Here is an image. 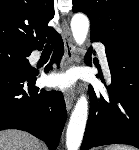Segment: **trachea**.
I'll list each match as a JSON object with an SVG mask.
<instances>
[{
  "instance_id": "obj_1",
  "label": "trachea",
  "mask_w": 139,
  "mask_h": 150,
  "mask_svg": "<svg viewBox=\"0 0 139 150\" xmlns=\"http://www.w3.org/2000/svg\"><path fill=\"white\" fill-rule=\"evenodd\" d=\"M45 48L51 49V46H50L49 44H47V45L45 46Z\"/></svg>"
}]
</instances>
